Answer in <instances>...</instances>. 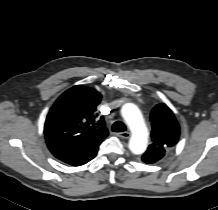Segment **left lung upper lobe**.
<instances>
[{
    "label": "left lung upper lobe",
    "instance_id": "left-lung-upper-lobe-1",
    "mask_svg": "<svg viewBox=\"0 0 218 210\" xmlns=\"http://www.w3.org/2000/svg\"><path fill=\"white\" fill-rule=\"evenodd\" d=\"M150 119L152 144L142 156L145 163H155L160 160L177 143L180 135L179 124L166 104L156 105L151 112Z\"/></svg>",
    "mask_w": 218,
    "mask_h": 210
}]
</instances>
